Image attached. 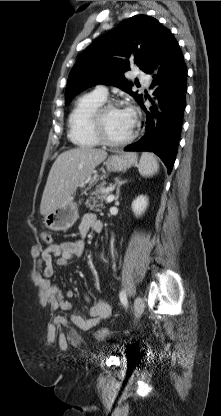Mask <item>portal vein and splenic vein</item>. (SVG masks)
Masks as SVG:
<instances>
[{"mask_svg":"<svg viewBox=\"0 0 221 416\" xmlns=\"http://www.w3.org/2000/svg\"><path fill=\"white\" fill-rule=\"evenodd\" d=\"M115 196L114 195H108V197L106 198V202L110 203L114 200Z\"/></svg>","mask_w":221,"mask_h":416,"instance_id":"obj_1","label":"portal vein and splenic vein"}]
</instances>
